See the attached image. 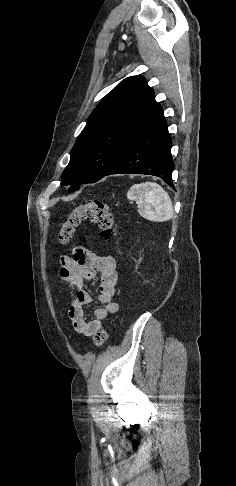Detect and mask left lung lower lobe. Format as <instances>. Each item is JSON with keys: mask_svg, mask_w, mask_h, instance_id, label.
Masks as SVG:
<instances>
[{"mask_svg": "<svg viewBox=\"0 0 236 486\" xmlns=\"http://www.w3.org/2000/svg\"><path fill=\"white\" fill-rule=\"evenodd\" d=\"M171 145L166 119L162 114L133 140L105 176L121 173L154 175L174 188Z\"/></svg>", "mask_w": 236, "mask_h": 486, "instance_id": "0a47b994", "label": "left lung lower lobe"}]
</instances>
